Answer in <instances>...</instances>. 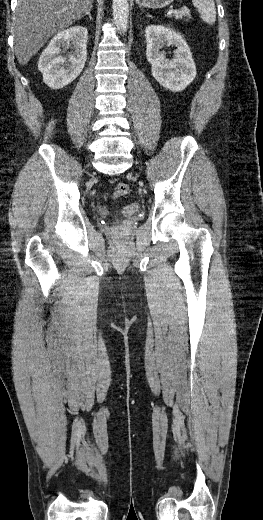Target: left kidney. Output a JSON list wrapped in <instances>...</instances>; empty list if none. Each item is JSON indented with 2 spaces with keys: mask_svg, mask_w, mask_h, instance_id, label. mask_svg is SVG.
Segmentation results:
<instances>
[{
  "mask_svg": "<svg viewBox=\"0 0 263 520\" xmlns=\"http://www.w3.org/2000/svg\"><path fill=\"white\" fill-rule=\"evenodd\" d=\"M146 56L152 66L153 77L164 88L179 92L196 77V67L185 39L175 30L162 25H150L145 30ZM177 47L172 60L165 58L160 49L164 46Z\"/></svg>",
  "mask_w": 263,
  "mask_h": 520,
  "instance_id": "5707ae66",
  "label": "left kidney"
}]
</instances>
